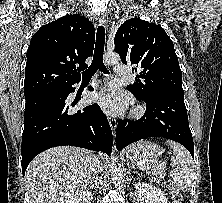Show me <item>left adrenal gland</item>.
Masks as SVG:
<instances>
[{"mask_svg":"<svg viewBox=\"0 0 222 203\" xmlns=\"http://www.w3.org/2000/svg\"><path fill=\"white\" fill-rule=\"evenodd\" d=\"M127 165H128V173H130L131 170H135L136 169L135 166L130 164V163H127Z\"/></svg>","mask_w":222,"mask_h":203,"instance_id":"left-adrenal-gland-1","label":"left adrenal gland"}]
</instances>
